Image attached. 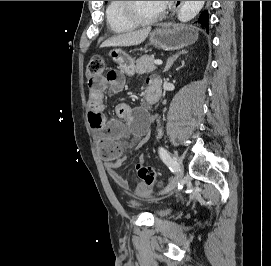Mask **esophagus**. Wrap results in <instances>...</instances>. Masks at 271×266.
<instances>
[{"mask_svg": "<svg viewBox=\"0 0 271 266\" xmlns=\"http://www.w3.org/2000/svg\"><path fill=\"white\" fill-rule=\"evenodd\" d=\"M184 1H175L173 10H172V15H174L178 9L181 7V5L183 4Z\"/></svg>", "mask_w": 271, "mask_h": 266, "instance_id": "1", "label": "esophagus"}]
</instances>
